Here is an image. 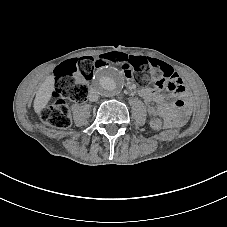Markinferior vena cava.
I'll use <instances>...</instances> for the list:
<instances>
[{"label": "inferior vena cava", "instance_id": "602c4592", "mask_svg": "<svg viewBox=\"0 0 227 227\" xmlns=\"http://www.w3.org/2000/svg\"><path fill=\"white\" fill-rule=\"evenodd\" d=\"M98 98H99L98 92L93 88L89 89V91H88L89 101L96 102L98 100Z\"/></svg>", "mask_w": 227, "mask_h": 227}]
</instances>
